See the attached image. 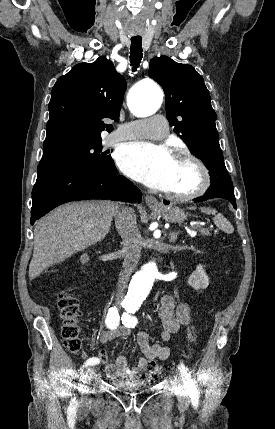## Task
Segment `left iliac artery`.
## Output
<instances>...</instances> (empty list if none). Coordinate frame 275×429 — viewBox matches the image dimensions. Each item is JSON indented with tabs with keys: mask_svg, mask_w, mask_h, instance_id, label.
<instances>
[{
	"mask_svg": "<svg viewBox=\"0 0 275 429\" xmlns=\"http://www.w3.org/2000/svg\"><path fill=\"white\" fill-rule=\"evenodd\" d=\"M125 309H126V313H124L121 318L122 323L124 324L125 327L134 328L137 324V318L135 316H132L131 314H134L137 308L133 306H126ZM179 370H180L182 380L189 387V390H190L189 395L192 400V403L193 405L196 406L198 404V399H199L198 391L194 385L193 380L191 379V376H190V373L188 372L187 367L183 364V362L179 365Z\"/></svg>",
	"mask_w": 275,
	"mask_h": 429,
	"instance_id": "left-iliac-artery-1",
	"label": "left iliac artery"
}]
</instances>
